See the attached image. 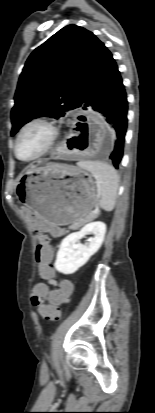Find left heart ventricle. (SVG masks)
I'll return each mask as SVG.
<instances>
[{"instance_id":"b2bd125f","label":"left heart ventricle","mask_w":155,"mask_h":413,"mask_svg":"<svg viewBox=\"0 0 155 413\" xmlns=\"http://www.w3.org/2000/svg\"><path fill=\"white\" fill-rule=\"evenodd\" d=\"M51 136L50 129L43 124L30 126L22 134L18 153L22 158L29 159L40 153L47 145Z\"/></svg>"}]
</instances>
